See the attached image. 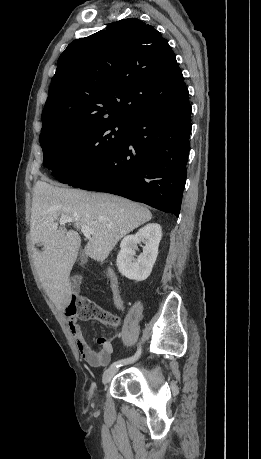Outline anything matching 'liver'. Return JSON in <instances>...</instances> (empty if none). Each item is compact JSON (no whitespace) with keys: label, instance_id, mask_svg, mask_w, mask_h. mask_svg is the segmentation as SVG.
<instances>
[{"label":"liver","instance_id":"liver-1","mask_svg":"<svg viewBox=\"0 0 261 459\" xmlns=\"http://www.w3.org/2000/svg\"><path fill=\"white\" fill-rule=\"evenodd\" d=\"M62 215L94 231L86 247V256L103 262L116 244L135 228L152 219L146 207L120 196L90 193L54 186L38 180L32 199L30 236L43 246L35 255V266L42 285L59 309L70 303V273L77 259L81 238L77 231L53 228Z\"/></svg>","mask_w":261,"mask_h":459}]
</instances>
